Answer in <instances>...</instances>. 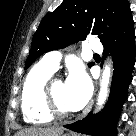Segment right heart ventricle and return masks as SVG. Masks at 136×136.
Listing matches in <instances>:
<instances>
[{
  "instance_id": "obj_1",
  "label": "right heart ventricle",
  "mask_w": 136,
  "mask_h": 136,
  "mask_svg": "<svg viewBox=\"0 0 136 136\" xmlns=\"http://www.w3.org/2000/svg\"><path fill=\"white\" fill-rule=\"evenodd\" d=\"M53 73V70L40 62L26 75L21 92V110L25 122L45 124L53 119L44 103V87Z\"/></svg>"
}]
</instances>
